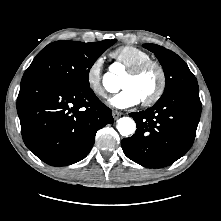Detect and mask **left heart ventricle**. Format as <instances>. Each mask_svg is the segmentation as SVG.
Segmentation results:
<instances>
[{
    "label": "left heart ventricle",
    "mask_w": 221,
    "mask_h": 221,
    "mask_svg": "<svg viewBox=\"0 0 221 221\" xmlns=\"http://www.w3.org/2000/svg\"><path fill=\"white\" fill-rule=\"evenodd\" d=\"M159 74L156 68L150 67L136 76L125 73L120 81V88H131L140 100L148 98L157 88Z\"/></svg>",
    "instance_id": "left-heart-ventricle-1"
}]
</instances>
